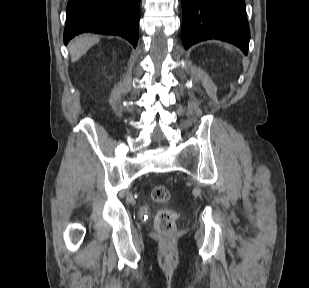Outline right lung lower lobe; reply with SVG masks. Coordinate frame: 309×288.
Listing matches in <instances>:
<instances>
[{
    "instance_id": "1",
    "label": "right lung lower lobe",
    "mask_w": 309,
    "mask_h": 288,
    "mask_svg": "<svg viewBox=\"0 0 309 288\" xmlns=\"http://www.w3.org/2000/svg\"><path fill=\"white\" fill-rule=\"evenodd\" d=\"M140 0H69L64 43L82 32L119 35L136 47Z\"/></svg>"
}]
</instances>
